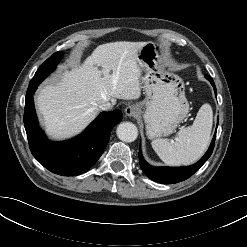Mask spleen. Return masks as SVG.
I'll return each instance as SVG.
<instances>
[{
  "instance_id": "1",
  "label": "spleen",
  "mask_w": 247,
  "mask_h": 247,
  "mask_svg": "<svg viewBox=\"0 0 247 247\" xmlns=\"http://www.w3.org/2000/svg\"><path fill=\"white\" fill-rule=\"evenodd\" d=\"M213 112L209 104L199 109L193 124L182 128L176 140L155 139L152 148L160 159L172 166L188 165L197 161L206 151L212 130Z\"/></svg>"
}]
</instances>
